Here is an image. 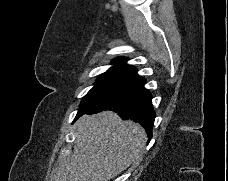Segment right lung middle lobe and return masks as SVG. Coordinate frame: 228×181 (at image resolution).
Returning a JSON list of instances; mask_svg holds the SVG:
<instances>
[{
  "label": "right lung middle lobe",
  "mask_w": 228,
  "mask_h": 181,
  "mask_svg": "<svg viewBox=\"0 0 228 181\" xmlns=\"http://www.w3.org/2000/svg\"><path fill=\"white\" fill-rule=\"evenodd\" d=\"M131 81L99 77L83 98L78 113L103 105L121 93Z\"/></svg>",
  "instance_id": "right-lung-middle-lobe-1"
}]
</instances>
